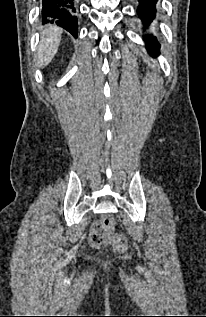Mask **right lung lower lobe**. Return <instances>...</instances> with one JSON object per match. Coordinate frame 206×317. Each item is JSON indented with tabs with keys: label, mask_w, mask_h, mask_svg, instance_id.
Listing matches in <instances>:
<instances>
[{
	"label": "right lung lower lobe",
	"mask_w": 206,
	"mask_h": 317,
	"mask_svg": "<svg viewBox=\"0 0 206 317\" xmlns=\"http://www.w3.org/2000/svg\"><path fill=\"white\" fill-rule=\"evenodd\" d=\"M42 17L43 23H56L77 37L75 0H42Z\"/></svg>",
	"instance_id": "right-lung-lower-lobe-1"
}]
</instances>
